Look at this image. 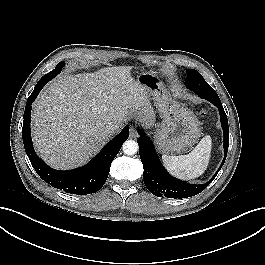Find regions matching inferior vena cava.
<instances>
[{
	"label": "inferior vena cava",
	"instance_id": "obj_1",
	"mask_svg": "<svg viewBox=\"0 0 265 265\" xmlns=\"http://www.w3.org/2000/svg\"><path fill=\"white\" fill-rule=\"evenodd\" d=\"M115 131H116V126H114V125H109L106 128V132L110 135H113L115 133Z\"/></svg>",
	"mask_w": 265,
	"mask_h": 265
}]
</instances>
